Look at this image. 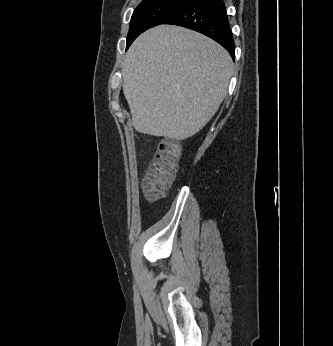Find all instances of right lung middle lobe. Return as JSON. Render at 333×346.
Listing matches in <instances>:
<instances>
[{
    "label": "right lung middle lobe",
    "instance_id": "dd1d6c3e",
    "mask_svg": "<svg viewBox=\"0 0 333 346\" xmlns=\"http://www.w3.org/2000/svg\"><path fill=\"white\" fill-rule=\"evenodd\" d=\"M186 0H143L133 12L126 49L144 31L163 24Z\"/></svg>",
    "mask_w": 333,
    "mask_h": 346
}]
</instances>
